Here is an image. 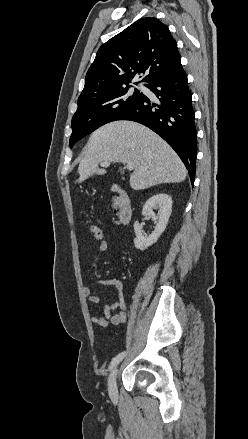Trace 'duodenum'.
Here are the masks:
<instances>
[{"instance_id": "obj_1", "label": "duodenum", "mask_w": 248, "mask_h": 439, "mask_svg": "<svg viewBox=\"0 0 248 439\" xmlns=\"http://www.w3.org/2000/svg\"><path fill=\"white\" fill-rule=\"evenodd\" d=\"M113 191L116 193L114 201L115 212L120 223L126 225L130 223L133 216L130 196L122 187L117 184L113 186Z\"/></svg>"}]
</instances>
